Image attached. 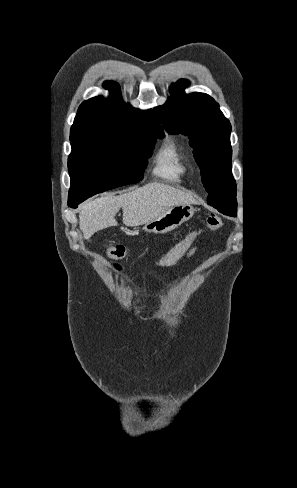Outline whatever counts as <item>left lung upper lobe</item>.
Wrapping results in <instances>:
<instances>
[{
    "label": "left lung upper lobe",
    "instance_id": "obj_1",
    "mask_svg": "<svg viewBox=\"0 0 297 488\" xmlns=\"http://www.w3.org/2000/svg\"><path fill=\"white\" fill-rule=\"evenodd\" d=\"M187 80L170 87L171 99L155 108L169 133L190 138L208 204L223 214L236 216V183L231 173V125L212 97L204 93L185 94Z\"/></svg>",
    "mask_w": 297,
    "mask_h": 488
}]
</instances>
